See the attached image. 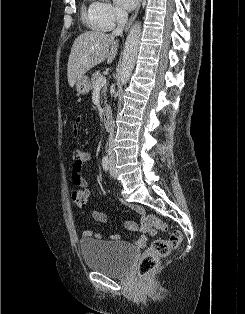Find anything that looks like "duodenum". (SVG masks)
I'll return each mask as SVG.
<instances>
[{
    "label": "duodenum",
    "instance_id": "1",
    "mask_svg": "<svg viewBox=\"0 0 245 314\" xmlns=\"http://www.w3.org/2000/svg\"><path fill=\"white\" fill-rule=\"evenodd\" d=\"M103 126L106 130H110L112 128V110L109 106L105 108Z\"/></svg>",
    "mask_w": 245,
    "mask_h": 314
}]
</instances>
